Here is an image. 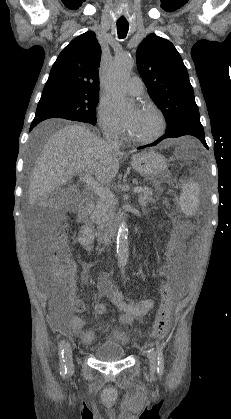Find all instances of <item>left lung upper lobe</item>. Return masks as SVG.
I'll use <instances>...</instances> for the list:
<instances>
[{"instance_id":"1","label":"left lung upper lobe","mask_w":231,"mask_h":419,"mask_svg":"<svg viewBox=\"0 0 231 419\" xmlns=\"http://www.w3.org/2000/svg\"><path fill=\"white\" fill-rule=\"evenodd\" d=\"M136 57L148 93L166 117V133L201 124L187 69L174 45L150 34L139 45Z\"/></svg>"}]
</instances>
